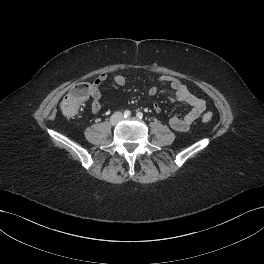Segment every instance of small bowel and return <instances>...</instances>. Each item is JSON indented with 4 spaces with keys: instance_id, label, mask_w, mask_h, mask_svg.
Segmentation results:
<instances>
[{
    "instance_id": "1",
    "label": "small bowel",
    "mask_w": 264,
    "mask_h": 264,
    "mask_svg": "<svg viewBox=\"0 0 264 264\" xmlns=\"http://www.w3.org/2000/svg\"><path fill=\"white\" fill-rule=\"evenodd\" d=\"M108 80V75L103 73L100 74L97 79L93 82V93L91 95V109L94 114L100 111V87L103 83ZM113 82L117 86H124L126 84V78L123 75L116 74L112 78ZM168 83L173 90V94L169 96V99L173 102H179L185 104L190 108L188 113L180 117H172L169 120V125L176 131L185 132L191 124L199 118L206 109V103L203 99L193 94L179 79L171 75H162L157 78L156 83L148 88L147 94L149 97H154L159 91V84ZM153 109L155 112H160L161 107L157 102H153Z\"/></svg>"
}]
</instances>
